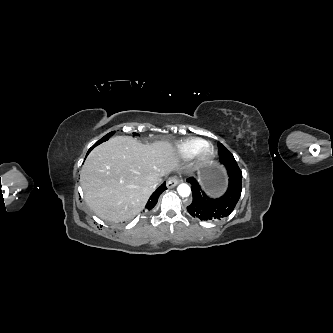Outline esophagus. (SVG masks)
I'll use <instances>...</instances> for the list:
<instances>
[{
    "label": "esophagus",
    "mask_w": 333,
    "mask_h": 333,
    "mask_svg": "<svg viewBox=\"0 0 333 333\" xmlns=\"http://www.w3.org/2000/svg\"><path fill=\"white\" fill-rule=\"evenodd\" d=\"M180 182H181V179H180L178 176L174 175V176L170 177V178L167 180V182H166V186H167L168 188H173V187H175L177 184H179Z\"/></svg>",
    "instance_id": "34e87169"
}]
</instances>
